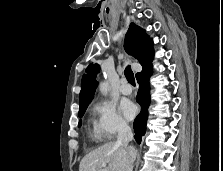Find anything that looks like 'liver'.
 <instances>
[{"mask_svg":"<svg viewBox=\"0 0 223 171\" xmlns=\"http://www.w3.org/2000/svg\"><path fill=\"white\" fill-rule=\"evenodd\" d=\"M134 148L127 150L116 142H108L88 153L80 162L79 171H125L129 159H135ZM102 164L105 167L100 168Z\"/></svg>","mask_w":223,"mask_h":171,"instance_id":"liver-1","label":"liver"}]
</instances>
